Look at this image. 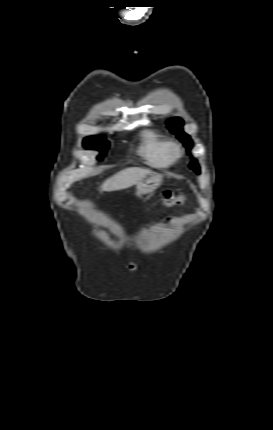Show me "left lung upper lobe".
<instances>
[{"label":"left lung upper lobe","instance_id":"left-lung-upper-lobe-1","mask_svg":"<svg viewBox=\"0 0 273 430\" xmlns=\"http://www.w3.org/2000/svg\"><path fill=\"white\" fill-rule=\"evenodd\" d=\"M183 121L180 118H172L170 120H168V128L170 129L171 132H173L174 134L177 135V137L180 139L181 142H183V144L185 145V147L187 148L188 151L191 150L192 148V141L190 139V137L183 132L182 130V126H183ZM189 167L194 170L197 174L200 173V167L197 163L196 159H193L192 162L189 164Z\"/></svg>","mask_w":273,"mask_h":430}]
</instances>
